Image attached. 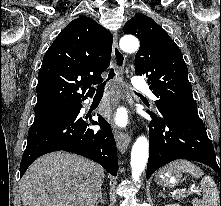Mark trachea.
I'll use <instances>...</instances> for the list:
<instances>
[{"label":"trachea","instance_id":"1","mask_svg":"<svg viewBox=\"0 0 221 206\" xmlns=\"http://www.w3.org/2000/svg\"><path fill=\"white\" fill-rule=\"evenodd\" d=\"M114 76H115L114 69L111 68L110 72H109V75H108V80L112 79ZM105 84H106V82H104L103 84L97 86V93H96L97 97L103 96Z\"/></svg>","mask_w":221,"mask_h":206}]
</instances>
